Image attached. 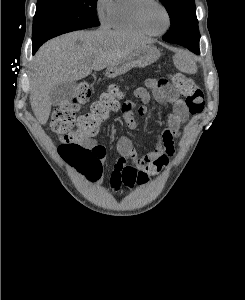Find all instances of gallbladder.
<instances>
[{
  "mask_svg": "<svg viewBox=\"0 0 245 300\" xmlns=\"http://www.w3.org/2000/svg\"><path fill=\"white\" fill-rule=\"evenodd\" d=\"M77 90L76 81H68L56 86L50 93L51 103L54 106H61L72 99Z\"/></svg>",
  "mask_w": 245,
  "mask_h": 300,
  "instance_id": "bac80fb5",
  "label": "gallbladder"
}]
</instances>
